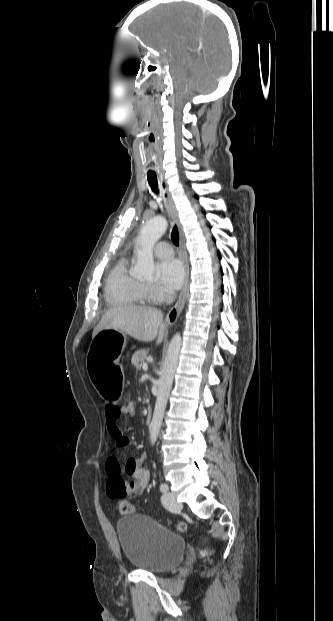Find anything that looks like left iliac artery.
Here are the masks:
<instances>
[{"mask_svg": "<svg viewBox=\"0 0 333 621\" xmlns=\"http://www.w3.org/2000/svg\"><path fill=\"white\" fill-rule=\"evenodd\" d=\"M168 490V485L166 483H162L160 485V491L161 492H166Z\"/></svg>", "mask_w": 333, "mask_h": 621, "instance_id": "obj_1", "label": "left iliac artery"}]
</instances>
